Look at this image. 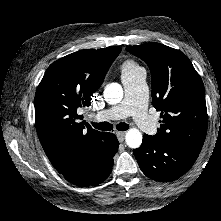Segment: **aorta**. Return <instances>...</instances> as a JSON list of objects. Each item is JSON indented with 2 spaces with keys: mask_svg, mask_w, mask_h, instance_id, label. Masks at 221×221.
<instances>
[{
  "mask_svg": "<svg viewBox=\"0 0 221 221\" xmlns=\"http://www.w3.org/2000/svg\"><path fill=\"white\" fill-rule=\"evenodd\" d=\"M105 101L110 105L120 103L123 98V88L118 83H109L103 92ZM126 143L130 148H138L142 143V134L136 128H131L126 133Z\"/></svg>",
  "mask_w": 221,
  "mask_h": 221,
  "instance_id": "1",
  "label": "aorta"
}]
</instances>
